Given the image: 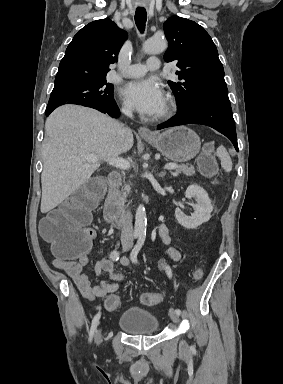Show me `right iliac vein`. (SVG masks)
<instances>
[{
    "label": "right iliac vein",
    "mask_w": 283,
    "mask_h": 384,
    "mask_svg": "<svg viewBox=\"0 0 283 384\" xmlns=\"http://www.w3.org/2000/svg\"><path fill=\"white\" fill-rule=\"evenodd\" d=\"M128 248L126 247L125 250H127ZM102 342V330L99 329L97 332H96V335H95V343L97 345H99L100 343Z\"/></svg>",
    "instance_id": "obj_1"
}]
</instances>
